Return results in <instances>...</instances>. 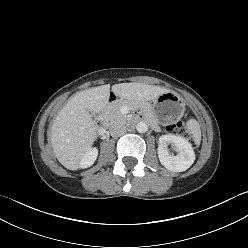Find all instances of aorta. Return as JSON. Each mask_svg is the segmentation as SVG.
<instances>
[{
    "label": "aorta",
    "mask_w": 248,
    "mask_h": 248,
    "mask_svg": "<svg viewBox=\"0 0 248 248\" xmlns=\"http://www.w3.org/2000/svg\"><path fill=\"white\" fill-rule=\"evenodd\" d=\"M136 129L139 133H145L148 130V125H147V123L141 121V122L137 123Z\"/></svg>",
    "instance_id": "762f6f07"
}]
</instances>
